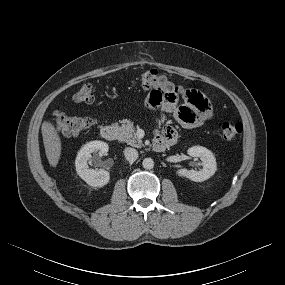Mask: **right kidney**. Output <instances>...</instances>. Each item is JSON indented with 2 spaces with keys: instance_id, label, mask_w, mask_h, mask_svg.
Listing matches in <instances>:
<instances>
[{
  "instance_id": "1",
  "label": "right kidney",
  "mask_w": 285,
  "mask_h": 285,
  "mask_svg": "<svg viewBox=\"0 0 285 285\" xmlns=\"http://www.w3.org/2000/svg\"><path fill=\"white\" fill-rule=\"evenodd\" d=\"M108 150V144L103 141H91L79 150L75 160L76 171L88 185L103 187L108 184L110 180L108 171L91 169L88 165V162H92V153L98 152L99 156H103L107 154Z\"/></svg>"
}]
</instances>
